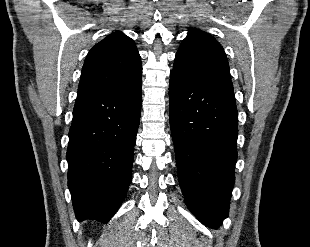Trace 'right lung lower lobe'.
Segmentation results:
<instances>
[{
  "instance_id": "obj_1",
  "label": "right lung lower lobe",
  "mask_w": 310,
  "mask_h": 247,
  "mask_svg": "<svg viewBox=\"0 0 310 247\" xmlns=\"http://www.w3.org/2000/svg\"><path fill=\"white\" fill-rule=\"evenodd\" d=\"M141 102V83L77 96L67 161L78 220L108 222L122 204L131 180Z\"/></svg>"
}]
</instances>
